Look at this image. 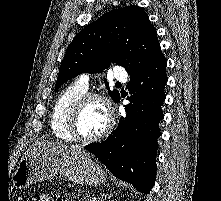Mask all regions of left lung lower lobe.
<instances>
[{
    "instance_id": "0a47b994",
    "label": "left lung lower lobe",
    "mask_w": 221,
    "mask_h": 201,
    "mask_svg": "<svg viewBox=\"0 0 221 201\" xmlns=\"http://www.w3.org/2000/svg\"><path fill=\"white\" fill-rule=\"evenodd\" d=\"M167 60L161 54L143 72L132 76L127 85L131 96L125 106L126 120L101 143L86 150L99 158L120 180L131 183L141 193H149L156 180L158 126L166 95ZM120 100V96L116 102Z\"/></svg>"
}]
</instances>
